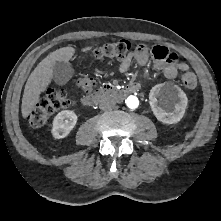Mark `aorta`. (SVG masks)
Returning <instances> with one entry per match:
<instances>
[{"mask_svg": "<svg viewBox=\"0 0 221 221\" xmlns=\"http://www.w3.org/2000/svg\"><path fill=\"white\" fill-rule=\"evenodd\" d=\"M125 103L130 109H136L139 105V100L136 96L131 95L127 97Z\"/></svg>", "mask_w": 221, "mask_h": 221, "instance_id": "762f6f07", "label": "aorta"}]
</instances>
